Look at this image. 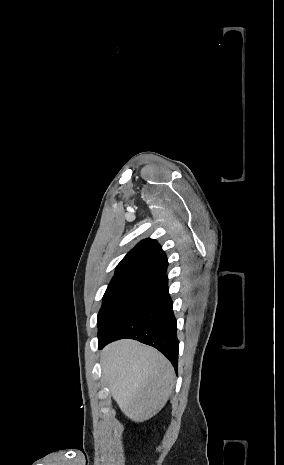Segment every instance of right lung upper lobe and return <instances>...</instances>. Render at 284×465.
I'll use <instances>...</instances> for the list:
<instances>
[{
	"mask_svg": "<svg viewBox=\"0 0 284 465\" xmlns=\"http://www.w3.org/2000/svg\"><path fill=\"white\" fill-rule=\"evenodd\" d=\"M167 266L166 255L157 241L145 239L121 260L113 278H141L156 282L165 276Z\"/></svg>",
	"mask_w": 284,
	"mask_h": 465,
	"instance_id": "obj_1",
	"label": "right lung upper lobe"
}]
</instances>
